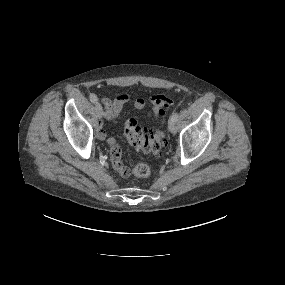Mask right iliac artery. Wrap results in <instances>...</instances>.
<instances>
[{"label": "right iliac artery", "instance_id": "obj_1", "mask_svg": "<svg viewBox=\"0 0 285 285\" xmlns=\"http://www.w3.org/2000/svg\"><path fill=\"white\" fill-rule=\"evenodd\" d=\"M90 100H91V102L96 103L98 98H97V96L95 94H91L90 95Z\"/></svg>", "mask_w": 285, "mask_h": 285}]
</instances>
